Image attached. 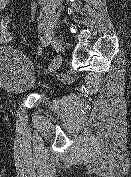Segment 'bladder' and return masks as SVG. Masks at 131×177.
<instances>
[{
    "instance_id": "obj_1",
    "label": "bladder",
    "mask_w": 131,
    "mask_h": 177,
    "mask_svg": "<svg viewBox=\"0 0 131 177\" xmlns=\"http://www.w3.org/2000/svg\"><path fill=\"white\" fill-rule=\"evenodd\" d=\"M0 84L14 93L26 91L36 84L28 58L14 48H6L0 57Z\"/></svg>"
}]
</instances>
